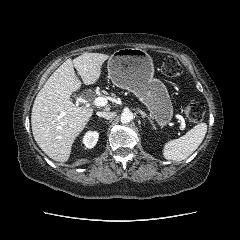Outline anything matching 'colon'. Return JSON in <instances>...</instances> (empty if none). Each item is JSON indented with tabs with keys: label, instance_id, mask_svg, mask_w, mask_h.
Here are the masks:
<instances>
[{
	"label": "colon",
	"instance_id": "obj_1",
	"mask_svg": "<svg viewBox=\"0 0 240 240\" xmlns=\"http://www.w3.org/2000/svg\"><path fill=\"white\" fill-rule=\"evenodd\" d=\"M162 72L167 77H177L182 73V66L174 57H167L162 64ZM205 106L202 102L192 100L183 107V113L190 123H198L202 120Z\"/></svg>",
	"mask_w": 240,
	"mask_h": 240
}]
</instances>
